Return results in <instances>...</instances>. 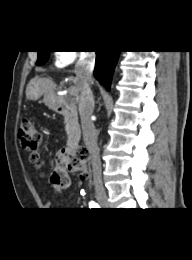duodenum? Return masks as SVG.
<instances>
[{
    "label": "duodenum",
    "mask_w": 192,
    "mask_h": 260,
    "mask_svg": "<svg viewBox=\"0 0 192 260\" xmlns=\"http://www.w3.org/2000/svg\"><path fill=\"white\" fill-rule=\"evenodd\" d=\"M55 111L65 116L69 123V139H68V150L70 152H76L80 149V137L81 130L77 123L75 112L72 108L67 106L64 102L58 101L55 104Z\"/></svg>",
    "instance_id": "obj_1"
}]
</instances>
